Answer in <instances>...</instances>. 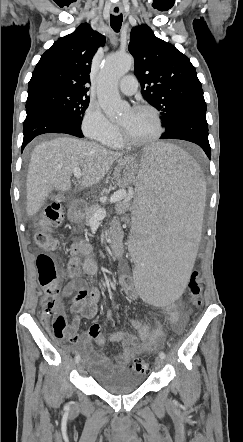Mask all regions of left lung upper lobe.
Returning <instances> with one entry per match:
<instances>
[{"mask_svg": "<svg viewBox=\"0 0 243 442\" xmlns=\"http://www.w3.org/2000/svg\"><path fill=\"white\" fill-rule=\"evenodd\" d=\"M128 49L134 57L142 95L160 111L163 126L183 107L205 103L201 83L188 57L157 38L147 25L132 29Z\"/></svg>", "mask_w": 243, "mask_h": 442, "instance_id": "1", "label": "left lung upper lobe"}]
</instances>
